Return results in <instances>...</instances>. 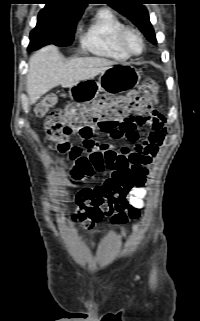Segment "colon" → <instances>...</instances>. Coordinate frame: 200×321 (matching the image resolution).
Wrapping results in <instances>:
<instances>
[{
	"label": "colon",
	"mask_w": 200,
	"mask_h": 321,
	"mask_svg": "<svg viewBox=\"0 0 200 321\" xmlns=\"http://www.w3.org/2000/svg\"><path fill=\"white\" fill-rule=\"evenodd\" d=\"M157 94V83L146 80L124 96L103 95L52 112L50 109L57 99L47 95L36 104L34 113L38 117L46 115L47 138L57 152L65 154L72 150L68 143L71 135L107 130L127 118L148 114L154 111ZM73 160L71 176L74 181H81L94 171L113 170L111 178L103 185L83 188L76 195L77 207L72 218L84 228L92 229L104 216L123 210L127 194L140 182L128 161L113 155L81 152Z\"/></svg>",
	"instance_id": "colon-1"
}]
</instances>
